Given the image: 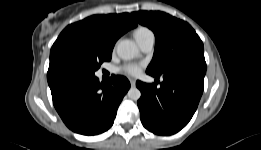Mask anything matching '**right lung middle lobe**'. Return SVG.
<instances>
[{
    "mask_svg": "<svg viewBox=\"0 0 261 150\" xmlns=\"http://www.w3.org/2000/svg\"><path fill=\"white\" fill-rule=\"evenodd\" d=\"M112 49L88 34L67 36L52 46L48 73L57 80L94 76Z\"/></svg>",
    "mask_w": 261,
    "mask_h": 150,
    "instance_id": "right-lung-middle-lobe-1",
    "label": "right lung middle lobe"
}]
</instances>
